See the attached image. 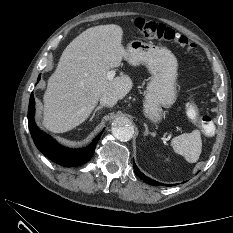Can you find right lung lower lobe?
Listing matches in <instances>:
<instances>
[{
	"label": "right lung lower lobe",
	"mask_w": 233,
	"mask_h": 233,
	"mask_svg": "<svg viewBox=\"0 0 233 233\" xmlns=\"http://www.w3.org/2000/svg\"><path fill=\"white\" fill-rule=\"evenodd\" d=\"M40 76L38 77V80ZM35 101L33 94L30 97L28 109V126L37 148L53 162L65 166L75 167L87 162L94 154L95 146L102 132L85 148L71 149L59 145L49 135L42 132L34 122Z\"/></svg>",
	"instance_id": "obj_1"
}]
</instances>
